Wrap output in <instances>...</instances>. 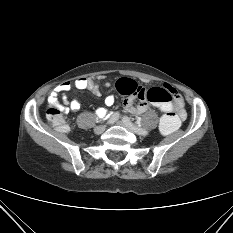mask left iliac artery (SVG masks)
Masks as SVG:
<instances>
[{
  "instance_id": "44dca946",
  "label": "left iliac artery",
  "mask_w": 233,
  "mask_h": 233,
  "mask_svg": "<svg viewBox=\"0 0 233 233\" xmlns=\"http://www.w3.org/2000/svg\"><path fill=\"white\" fill-rule=\"evenodd\" d=\"M123 120L125 121V125H128V127H131V129H134V131L138 133H141L143 135H148L150 133L148 130L136 126V123L131 122V120L127 116H124Z\"/></svg>"
}]
</instances>
